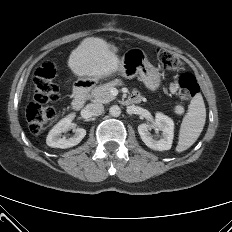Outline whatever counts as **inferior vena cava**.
Masks as SVG:
<instances>
[{"label": "inferior vena cava", "instance_id": "1", "mask_svg": "<svg viewBox=\"0 0 232 232\" xmlns=\"http://www.w3.org/2000/svg\"><path fill=\"white\" fill-rule=\"evenodd\" d=\"M103 111L104 107L101 103H91L84 109L86 117L101 115Z\"/></svg>", "mask_w": 232, "mask_h": 232}]
</instances>
